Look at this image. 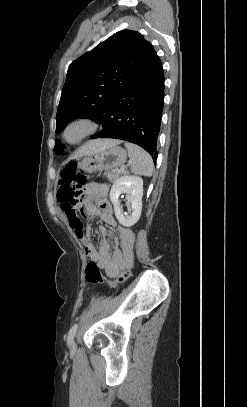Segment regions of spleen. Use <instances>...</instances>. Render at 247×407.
Listing matches in <instances>:
<instances>
[{
	"label": "spleen",
	"mask_w": 247,
	"mask_h": 407,
	"mask_svg": "<svg viewBox=\"0 0 247 407\" xmlns=\"http://www.w3.org/2000/svg\"><path fill=\"white\" fill-rule=\"evenodd\" d=\"M130 157V170L136 175L150 177L153 174L154 165L151 156L141 147L126 142Z\"/></svg>",
	"instance_id": "1"
}]
</instances>
